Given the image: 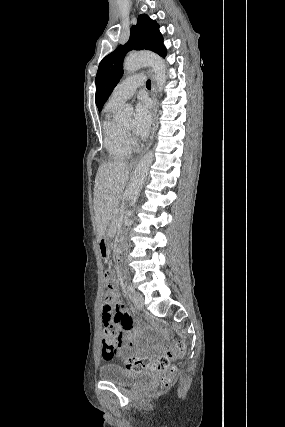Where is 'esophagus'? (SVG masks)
<instances>
[{
	"label": "esophagus",
	"instance_id": "34e87169",
	"mask_svg": "<svg viewBox=\"0 0 285 427\" xmlns=\"http://www.w3.org/2000/svg\"><path fill=\"white\" fill-rule=\"evenodd\" d=\"M147 73L150 75L151 77V81H152V99H153V107H152V128H151V135L149 138V141L146 145V148L144 149V151L141 153L140 156H138L137 158H135L134 160L131 161V165L134 166L137 164V162L139 161V159L141 158V156L148 150V148L150 147L153 137H154V133H155V129H156V104H157V100H156V83H155V77H154V73L152 71L151 68H147L146 69Z\"/></svg>",
	"mask_w": 285,
	"mask_h": 427
}]
</instances>
